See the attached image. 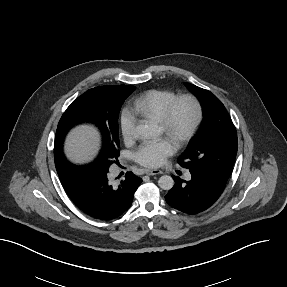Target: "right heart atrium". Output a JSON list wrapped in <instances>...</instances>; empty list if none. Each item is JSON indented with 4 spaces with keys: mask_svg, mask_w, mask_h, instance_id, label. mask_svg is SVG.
Masks as SVG:
<instances>
[{
    "mask_svg": "<svg viewBox=\"0 0 287 287\" xmlns=\"http://www.w3.org/2000/svg\"><path fill=\"white\" fill-rule=\"evenodd\" d=\"M120 130L126 141L132 140L136 136L137 119L132 110L125 108L120 115Z\"/></svg>",
    "mask_w": 287,
    "mask_h": 287,
    "instance_id": "d8ad5b80",
    "label": "right heart atrium"
}]
</instances>
